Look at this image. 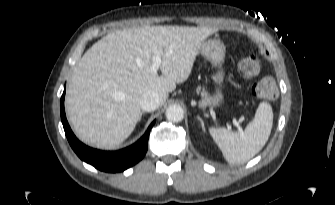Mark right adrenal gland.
<instances>
[{
    "mask_svg": "<svg viewBox=\"0 0 335 205\" xmlns=\"http://www.w3.org/2000/svg\"><path fill=\"white\" fill-rule=\"evenodd\" d=\"M142 114H144V112H141V114H140V119H141Z\"/></svg>",
    "mask_w": 335,
    "mask_h": 205,
    "instance_id": "obj_1",
    "label": "right adrenal gland"
}]
</instances>
